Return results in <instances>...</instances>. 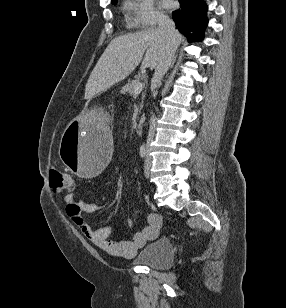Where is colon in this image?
Segmentation results:
<instances>
[{
    "label": "colon",
    "instance_id": "1",
    "mask_svg": "<svg viewBox=\"0 0 286 308\" xmlns=\"http://www.w3.org/2000/svg\"><path fill=\"white\" fill-rule=\"evenodd\" d=\"M50 186L56 192H71L74 189V176L70 173L52 170L50 172Z\"/></svg>",
    "mask_w": 286,
    "mask_h": 308
}]
</instances>
